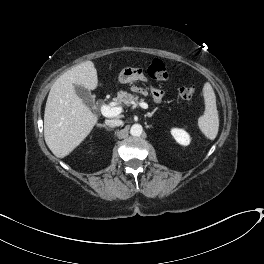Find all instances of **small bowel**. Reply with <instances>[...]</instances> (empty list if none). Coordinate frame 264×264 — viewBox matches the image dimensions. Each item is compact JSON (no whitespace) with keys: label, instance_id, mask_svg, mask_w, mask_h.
I'll return each instance as SVG.
<instances>
[{"label":"small bowel","instance_id":"c3829d8e","mask_svg":"<svg viewBox=\"0 0 264 264\" xmlns=\"http://www.w3.org/2000/svg\"><path fill=\"white\" fill-rule=\"evenodd\" d=\"M152 96L155 102H160L163 98V92L159 89H154L152 91Z\"/></svg>","mask_w":264,"mask_h":264}]
</instances>
